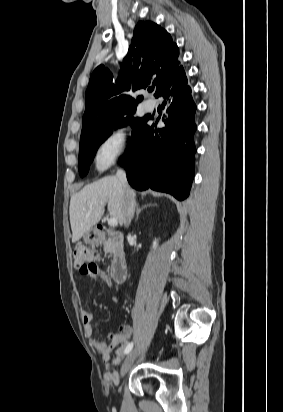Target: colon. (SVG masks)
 Instances as JSON below:
<instances>
[{
  "instance_id": "1",
  "label": "colon",
  "mask_w": 283,
  "mask_h": 412,
  "mask_svg": "<svg viewBox=\"0 0 283 412\" xmlns=\"http://www.w3.org/2000/svg\"><path fill=\"white\" fill-rule=\"evenodd\" d=\"M72 256L74 264L79 268L81 274L95 275L102 272L95 251L87 248H75Z\"/></svg>"
}]
</instances>
